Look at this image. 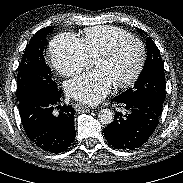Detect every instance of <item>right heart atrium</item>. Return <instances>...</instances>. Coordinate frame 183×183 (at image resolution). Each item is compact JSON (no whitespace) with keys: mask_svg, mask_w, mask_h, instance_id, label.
I'll return each mask as SVG.
<instances>
[{"mask_svg":"<svg viewBox=\"0 0 183 183\" xmlns=\"http://www.w3.org/2000/svg\"><path fill=\"white\" fill-rule=\"evenodd\" d=\"M50 56L53 67L65 77L79 74L88 60L80 40L69 33L60 34L52 40Z\"/></svg>","mask_w":183,"mask_h":183,"instance_id":"d8ad5b80","label":"right heart atrium"}]
</instances>
